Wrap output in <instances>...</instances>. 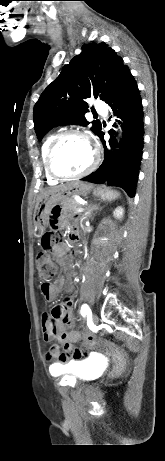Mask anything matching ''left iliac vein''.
Segmentation results:
<instances>
[{
    "mask_svg": "<svg viewBox=\"0 0 165 461\" xmlns=\"http://www.w3.org/2000/svg\"><path fill=\"white\" fill-rule=\"evenodd\" d=\"M98 322H99V318H98L97 314L93 313V314H92V323H93L94 325H97Z\"/></svg>",
    "mask_w": 165,
    "mask_h": 461,
    "instance_id": "1",
    "label": "left iliac vein"
}]
</instances>
